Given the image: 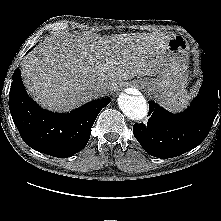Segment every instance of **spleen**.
Masks as SVG:
<instances>
[{
	"label": "spleen",
	"instance_id": "obj_1",
	"mask_svg": "<svg viewBox=\"0 0 221 221\" xmlns=\"http://www.w3.org/2000/svg\"><path fill=\"white\" fill-rule=\"evenodd\" d=\"M187 96L183 99V101H182V103L179 105V106H175V107H173V106H168L170 109H173V108H178V107H182V106H184L186 103H187Z\"/></svg>",
	"mask_w": 221,
	"mask_h": 221
}]
</instances>
